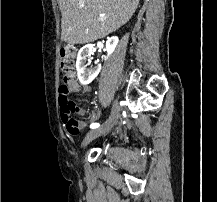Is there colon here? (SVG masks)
Wrapping results in <instances>:
<instances>
[{"mask_svg": "<svg viewBox=\"0 0 217 202\" xmlns=\"http://www.w3.org/2000/svg\"><path fill=\"white\" fill-rule=\"evenodd\" d=\"M71 47H62L59 50V55L61 56L62 63V73H57V78H73V60L70 59ZM59 95L57 97V102H62L60 116L65 117L62 120V125H66V128L70 134L77 135L80 134L82 129L79 122L74 118V112L76 111V105L72 100L70 93L72 91V82H59Z\"/></svg>", "mask_w": 217, "mask_h": 202, "instance_id": "obj_1", "label": "colon"}]
</instances>
